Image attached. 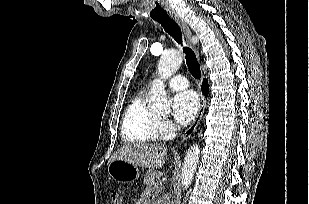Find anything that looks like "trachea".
<instances>
[{
	"mask_svg": "<svg viewBox=\"0 0 309 204\" xmlns=\"http://www.w3.org/2000/svg\"><path fill=\"white\" fill-rule=\"evenodd\" d=\"M153 19L159 22L164 30L172 36L178 44H182V33L180 27L169 15H161L154 17ZM183 51L185 53L186 64L190 73L194 78L199 79L201 77V71L195 53L189 47H184Z\"/></svg>",
	"mask_w": 309,
	"mask_h": 204,
	"instance_id": "1",
	"label": "trachea"
}]
</instances>
